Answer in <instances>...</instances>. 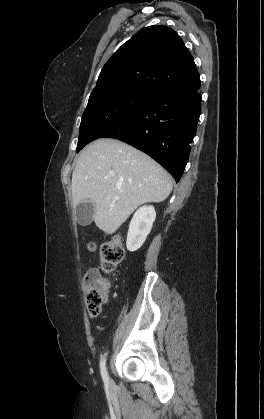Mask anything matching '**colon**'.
<instances>
[{
    "label": "colon",
    "instance_id": "5ec220e1",
    "mask_svg": "<svg viewBox=\"0 0 264 419\" xmlns=\"http://www.w3.org/2000/svg\"><path fill=\"white\" fill-rule=\"evenodd\" d=\"M89 249L94 250V245L90 244ZM100 255L102 272L91 270L84 278L86 304L91 317L100 314L110 291V281L103 273L113 271L124 260L125 250L119 238L114 237L101 246Z\"/></svg>",
    "mask_w": 264,
    "mask_h": 419
}]
</instances>
